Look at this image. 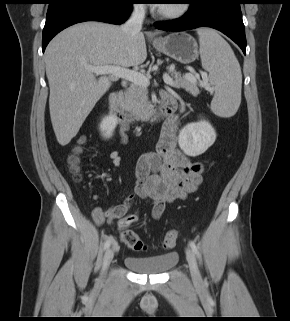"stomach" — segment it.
Returning <instances> with one entry per match:
<instances>
[{"label":"stomach","mask_w":290,"mask_h":321,"mask_svg":"<svg viewBox=\"0 0 290 321\" xmlns=\"http://www.w3.org/2000/svg\"><path fill=\"white\" fill-rule=\"evenodd\" d=\"M155 49L182 64H190L198 57L196 40L185 32H175L153 41Z\"/></svg>","instance_id":"stomach-1"}]
</instances>
